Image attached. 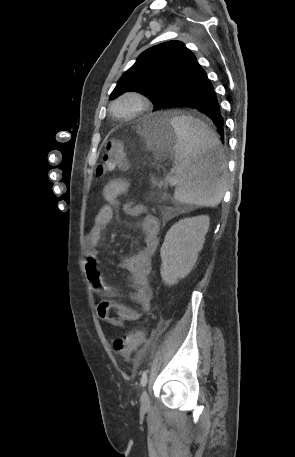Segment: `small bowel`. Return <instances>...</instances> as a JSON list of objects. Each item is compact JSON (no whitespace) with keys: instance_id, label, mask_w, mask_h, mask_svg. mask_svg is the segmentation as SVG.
Returning <instances> with one entry per match:
<instances>
[{"instance_id":"obj_1","label":"small bowel","mask_w":295,"mask_h":457,"mask_svg":"<svg viewBox=\"0 0 295 457\" xmlns=\"http://www.w3.org/2000/svg\"><path fill=\"white\" fill-rule=\"evenodd\" d=\"M128 186V183L122 179L112 180L105 185L103 196L107 203L97 212L94 224L86 235L85 271L87 279L94 292L103 297L97 306V314L101 320L116 327H122L126 322L137 321L149 313L153 300L149 275L152 258L158 246L159 223L154 216L146 214L139 225L143 235L142 249L133 257L124 258L120 263L121 268L128 271L131 276L132 292L128 298L141 311L118 302L116 300L118 294L103 280L98 266L99 250L103 245L102 232L112 221L114 207L118 204L119 197L127 192ZM124 210L133 216L145 213V208L140 204L128 203L124 206Z\"/></svg>"}]
</instances>
